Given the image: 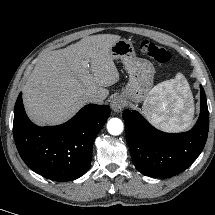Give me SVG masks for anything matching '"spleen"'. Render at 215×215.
Segmentation results:
<instances>
[{"instance_id": "spleen-1", "label": "spleen", "mask_w": 215, "mask_h": 215, "mask_svg": "<svg viewBox=\"0 0 215 215\" xmlns=\"http://www.w3.org/2000/svg\"><path fill=\"white\" fill-rule=\"evenodd\" d=\"M143 114L150 122L166 131L176 132L191 125L193 101L184 75L159 83L144 101Z\"/></svg>"}]
</instances>
